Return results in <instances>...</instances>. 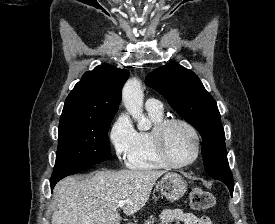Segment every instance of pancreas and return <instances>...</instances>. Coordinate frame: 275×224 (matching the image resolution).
<instances>
[{
  "label": "pancreas",
  "mask_w": 275,
  "mask_h": 224,
  "mask_svg": "<svg viewBox=\"0 0 275 224\" xmlns=\"http://www.w3.org/2000/svg\"><path fill=\"white\" fill-rule=\"evenodd\" d=\"M155 218L153 216L150 217V219H148L145 224H154Z\"/></svg>",
  "instance_id": "cf45deb5"
}]
</instances>
